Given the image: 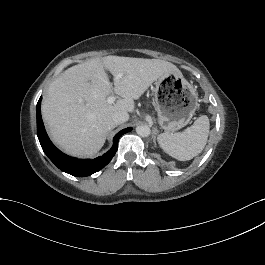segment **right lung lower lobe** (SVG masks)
Returning <instances> with one entry per match:
<instances>
[{
  "mask_svg": "<svg viewBox=\"0 0 265 265\" xmlns=\"http://www.w3.org/2000/svg\"><path fill=\"white\" fill-rule=\"evenodd\" d=\"M41 97L37 103V135L41 147L49 159L62 171L77 177L89 176L105 167L116 154L119 138L131 131L126 128L118 132L113 140L112 148L104 155L95 159H76L69 157L57 149L50 141L41 118Z\"/></svg>",
  "mask_w": 265,
  "mask_h": 265,
  "instance_id": "obj_1",
  "label": "right lung lower lobe"
}]
</instances>
